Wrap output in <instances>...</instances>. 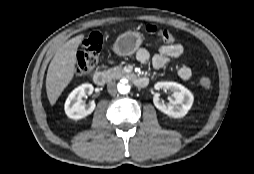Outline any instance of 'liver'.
Wrapping results in <instances>:
<instances>
[{"label": "liver", "mask_w": 254, "mask_h": 174, "mask_svg": "<svg viewBox=\"0 0 254 174\" xmlns=\"http://www.w3.org/2000/svg\"><path fill=\"white\" fill-rule=\"evenodd\" d=\"M84 38L78 35L61 45L50 62L46 77V92L51 105H54L71 82L75 74L76 52Z\"/></svg>", "instance_id": "6515ba94"}]
</instances>
